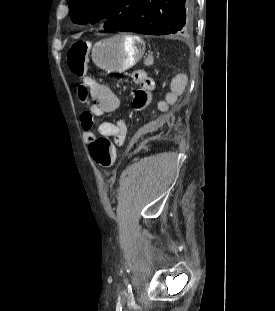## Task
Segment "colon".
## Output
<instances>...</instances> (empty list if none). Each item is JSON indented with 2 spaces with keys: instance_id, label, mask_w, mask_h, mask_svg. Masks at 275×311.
Listing matches in <instances>:
<instances>
[{
  "instance_id": "colon-1",
  "label": "colon",
  "mask_w": 275,
  "mask_h": 311,
  "mask_svg": "<svg viewBox=\"0 0 275 311\" xmlns=\"http://www.w3.org/2000/svg\"><path fill=\"white\" fill-rule=\"evenodd\" d=\"M89 43L86 41L74 42L67 51V63L71 72L78 78H84L86 72V57ZM88 90L86 86L81 88V100L87 101ZM89 152L96 165L109 168L114 165L116 153L112 141L106 136L94 137Z\"/></svg>"
}]
</instances>
